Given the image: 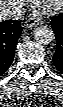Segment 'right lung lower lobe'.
I'll list each match as a JSON object with an SVG mask.
<instances>
[{"label":"right lung lower lobe","mask_w":63,"mask_h":107,"mask_svg":"<svg viewBox=\"0 0 63 107\" xmlns=\"http://www.w3.org/2000/svg\"><path fill=\"white\" fill-rule=\"evenodd\" d=\"M21 26L17 20L0 22V76L10 67L16 42L21 34Z\"/></svg>","instance_id":"1"}]
</instances>
